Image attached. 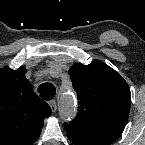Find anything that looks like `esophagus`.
I'll return each mask as SVG.
<instances>
[{
    "mask_svg": "<svg viewBox=\"0 0 145 145\" xmlns=\"http://www.w3.org/2000/svg\"><path fill=\"white\" fill-rule=\"evenodd\" d=\"M49 106H50L52 112H56V110H57V105H56V101H55V100H50V101H49Z\"/></svg>",
    "mask_w": 145,
    "mask_h": 145,
    "instance_id": "1",
    "label": "esophagus"
}]
</instances>
